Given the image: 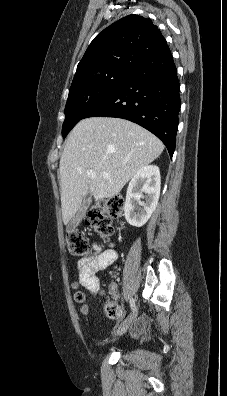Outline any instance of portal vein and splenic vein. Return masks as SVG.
I'll return each instance as SVG.
<instances>
[{
  "label": "portal vein and splenic vein",
  "instance_id": "1",
  "mask_svg": "<svg viewBox=\"0 0 227 396\" xmlns=\"http://www.w3.org/2000/svg\"><path fill=\"white\" fill-rule=\"evenodd\" d=\"M102 175H103V177H105V178H109V177H110V175H109L107 172H103ZM87 176H88L89 178H95V177H96V174H95V172H94L93 170H88Z\"/></svg>",
  "mask_w": 227,
  "mask_h": 396
}]
</instances>
